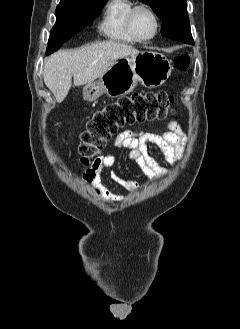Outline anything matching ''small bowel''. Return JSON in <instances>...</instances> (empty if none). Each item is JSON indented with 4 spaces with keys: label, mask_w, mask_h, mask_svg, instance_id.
I'll list each match as a JSON object with an SVG mask.
<instances>
[{
    "label": "small bowel",
    "mask_w": 240,
    "mask_h": 329,
    "mask_svg": "<svg viewBox=\"0 0 240 329\" xmlns=\"http://www.w3.org/2000/svg\"><path fill=\"white\" fill-rule=\"evenodd\" d=\"M185 141V133L180 125L173 121L163 133L125 130L116 137L113 147L124 150L150 180H156L165 173V169L151 156L149 145L156 146L163 153L165 161L173 165L181 157ZM115 163V154H106L97 158L83 175L84 184L104 202H119L123 199V196L112 193L102 184V173L106 170H109L111 179L117 184L132 191L138 188L137 183L121 178L112 170Z\"/></svg>",
    "instance_id": "obj_1"
}]
</instances>
